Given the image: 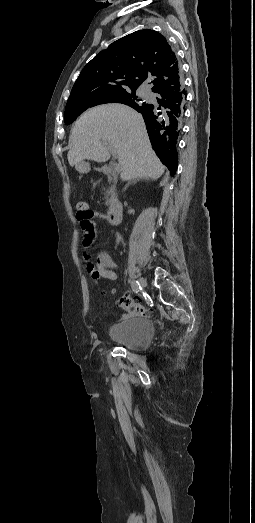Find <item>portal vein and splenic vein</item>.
Masks as SVG:
<instances>
[{
	"label": "portal vein and splenic vein",
	"instance_id": "portal-vein-and-splenic-vein-1",
	"mask_svg": "<svg viewBox=\"0 0 255 523\" xmlns=\"http://www.w3.org/2000/svg\"><path fill=\"white\" fill-rule=\"evenodd\" d=\"M113 156H115V154H113ZM113 173L115 175H118L120 173V166H119V164H116V166H114Z\"/></svg>",
	"mask_w": 255,
	"mask_h": 523
}]
</instances>
